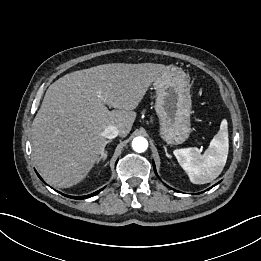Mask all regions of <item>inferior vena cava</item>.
Here are the masks:
<instances>
[{
  "instance_id": "1",
  "label": "inferior vena cava",
  "mask_w": 261,
  "mask_h": 261,
  "mask_svg": "<svg viewBox=\"0 0 261 261\" xmlns=\"http://www.w3.org/2000/svg\"><path fill=\"white\" fill-rule=\"evenodd\" d=\"M119 134V130L116 126H107L103 131V136L107 139H114Z\"/></svg>"
}]
</instances>
